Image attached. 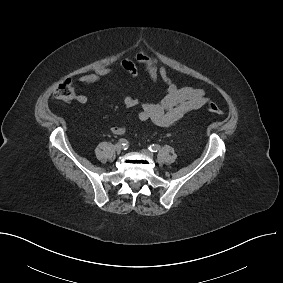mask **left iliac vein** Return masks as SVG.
<instances>
[{
	"label": "left iliac vein",
	"mask_w": 283,
	"mask_h": 283,
	"mask_svg": "<svg viewBox=\"0 0 283 283\" xmlns=\"http://www.w3.org/2000/svg\"><path fill=\"white\" fill-rule=\"evenodd\" d=\"M142 153H143L144 155H146L147 157H150V158H153V156H154V154H153L151 151L146 150V149H143V150H142Z\"/></svg>",
	"instance_id": "obj_1"
}]
</instances>
